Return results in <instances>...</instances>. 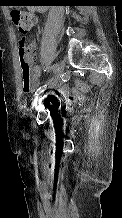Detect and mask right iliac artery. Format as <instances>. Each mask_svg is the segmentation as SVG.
I'll use <instances>...</instances> for the list:
<instances>
[{"mask_svg":"<svg viewBox=\"0 0 122 218\" xmlns=\"http://www.w3.org/2000/svg\"><path fill=\"white\" fill-rule=\"evenodd\" d=\"M50 69H51L53 72L55 71V70H54V66H52ZM45 86H46V84L43 85V86H41V87H39V88L36 90L35 95H37L39 92H41L42 89H43V87H45Z\"/></svg>","mask_w":122,"mask_h":218,"instance_id":"obj_1","label":"right iliac artery"}]
</instances>
